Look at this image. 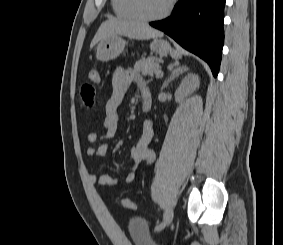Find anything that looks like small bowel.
<instances>
[{"label": "small bowel", "instance_id": "c3829d8e", "mask_svg": "<svg viewBox=\"0 0 283 245\" xmlns=\"http://www.w3.org/2000/svg\"><path fill=\"white\" fill-rule=\"evenodd\" d=\"M132 82L138 84L143 96H151L149 88L136 71L130 68H117L112 76V94L106 103V116L103 123L105 132L103 135H98L97 133L88 134V142L96 145V147H89L87 149L86 153L88 156L101 158L106 154L108 150L107 140L114 137L118 130V108L122 104L124 96ZM95 86L96 84H90L89 82H85L80 86V99L82 104L87 108L94 106ZM153 136V124L150 120H145L141 137L137 144L130 150L132 165L126 174L123 177L110 176L107 174L98 176L93 172H88V180L99 186H115L121 183L129 184L134 181L136 169L143 163L151 164L155 160V153L151 149Z\"/></svg>", "mask_w": 283, "mask_h": 245}]
</instances>
